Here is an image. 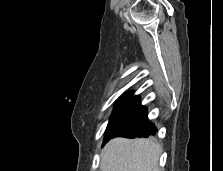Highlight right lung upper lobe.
<instances>
[{
    "label": "right lung upper lobe",
    "instance_id": "right-lung-upper-lobe-1",
    "mask_svg": "<svg viewBox=\"0 0 223 171\" xmlns=\"http://www.w3.org/2000/svg\"><path fill=\"white\" fill-rule=\"evenodd\" d=\"M123 98H134V99H137L136 96L132 97V93H128V94L125 95Z\"/></svg>",
    "mask_w": 223,
    "mask_h": 171
}]
</instances>
